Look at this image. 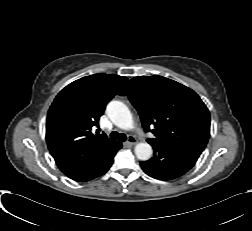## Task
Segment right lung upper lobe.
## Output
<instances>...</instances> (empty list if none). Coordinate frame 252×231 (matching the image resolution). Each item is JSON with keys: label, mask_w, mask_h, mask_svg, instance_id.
<instances>
[{"label": "right lung upper lobe", "mask_w": 252, "mask_h": 231, "mask_svg": "<svg viewBox=\"0 0 252 231\" xmlns=\"http://www.w3.org/2000/svg\"><path fill=\"white\" fill-rule=\"evenodd\" d=\"M126 80L105 73L86 76L66 86L53 101L47 115L46 141L57 166L69 178L92 180L122 147L92 130Z\"/></svg>", "instance_id": "right-lung-upper-lobe-1"}]
</instances>
